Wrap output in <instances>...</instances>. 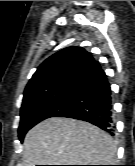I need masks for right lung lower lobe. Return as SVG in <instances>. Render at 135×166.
<instances>
[{"mask_svg": "<svg viewBox=\"0 0 135 166\" xmlns=\"http://www.w3.org/2000/svg\"><path fill=\"white\" fill-rule=\"evenodd\" d=\"M72 98L65 110L55 117L87 121L114 134L111 88L101 68L69 85Z\"/></svg>", "mask_w": 135, "mask_h": 166, "instance_id": "98d812e1", "label": "right lung lower lobe"}]
</instances>
